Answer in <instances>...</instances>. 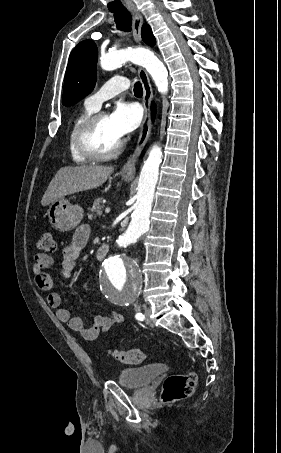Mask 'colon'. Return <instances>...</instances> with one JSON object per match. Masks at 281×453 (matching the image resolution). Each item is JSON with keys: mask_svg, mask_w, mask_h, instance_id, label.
Here are the masks:
<instances>
[{"mask_svg": "<svg viewBox=\"0 0 281 453\" xmlns=\"http://www.w3.org/2000/svg\"><path fill=\"white\" fill-rule=\"evenodd\" d=\"M37 249L46 250L47 255H56L57 248L54 241V231L45 230L37 243ZM112 358L121 363H143L148 354L136 349H115L111 352ZM195 373L188 370L184 373L170 375L164 382V400L166 402L183 400L190 394Z\"/></svg>", "mask_w": 281, "mask_h": 453, "instance_id": "1", "label": "colon"}]
</instances>
